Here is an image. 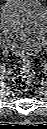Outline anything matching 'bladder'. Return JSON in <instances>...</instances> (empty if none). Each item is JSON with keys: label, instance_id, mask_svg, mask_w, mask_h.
<instances>
[{"label": "bladder", "instance_id": "1", "mask_svg": "<svg viewBox=\"0 0 47 129\" xmlns=\"http://www.w3.org/2000/svg\"><path fill=\"white\" fill-rule=\"evenodd\" d=\"M1 30L7 47L29 57L46 44L47 11L39 0H6L1 11Z\"/></svg>", "mask_w": 47, "mask_h": 129}]
</instances>
